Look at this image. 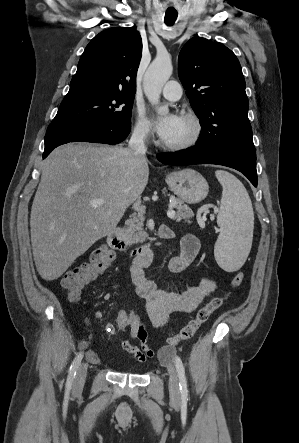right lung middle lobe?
Returning <instances> with one entry per match:
<instances>
[{
	"label": "right lung middle lobe",
	"instance_id": "dd1d6c3e",
	"mask_svg": "<svg viewBox=\"0 0 299 443\" xmlns=\"http://www.w3.org/2000/svg\"><path fill=\"white\" fill-rule=\"evenodd\" d=\"M134 95L99 88H70L50 125L130 123Z\"/></svg>",
	"mask_w": 299,
	"mask_h": 443
}]
</instances>
